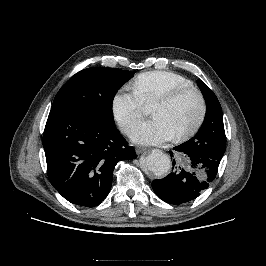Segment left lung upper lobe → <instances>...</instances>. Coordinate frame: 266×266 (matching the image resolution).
I'll list each match as a JSON object with an SVG mask.
<instances>
[{"label": "left lung upper lobe", "instance_id": "obj_1", "mask_svg": "<svg viewBox=\"0 0 266 266\" xmlns=\"http://www.w3.org/2000/svg\"><path fill=\"white\" fill-rule=\"evenodd\" d=\"M197 84L206 101V115L197 134L183 144L191 151L221 160L226 149L221 105L216 95L203 81L197 80Z\"/></svg>", "mask_w": 266, "mask_h": 266}]
</instances>
